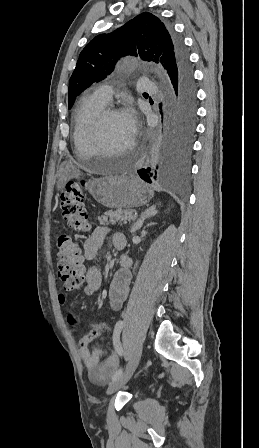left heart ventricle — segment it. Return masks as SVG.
<instances>
[{"mask_svg":"<svg viewBox=\"0 0 259 448\" xmlns=\"http://www.w3.org/2000/svg\"><path fill=\"white\" fill-rule=\"evenodd\" d=\"M103 136L105 143L111 151L106 152L92 147L88 150H82L80 153L84 163L87 159L92 157L102 158L107 155L119 154L120 152L129 149L134 139L130 130L122 120L121 114L111 116L105 121Z\"/></svg>","mask_w":259,"mask_h":448,"instance_id":"obj_1","label":"left heart ventricle"}]
</instances>
